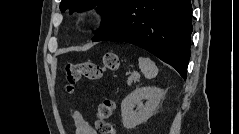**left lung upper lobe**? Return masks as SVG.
<instances>
[{
    "label": "left lung upper lobe",
    "mask_w": 239,
    "mask_h": 134,
    "mask_svg": "<svg viewBox=\"0 0 239 134\" xmlns=\"http://www.w3.org/2000/svg\"><path fill=\"white\" fill-rule=\"evenodd\" d=\"M128 0H62L60 10L64 12L70 8V14L73 12H82L96 7L98 13L102 15V28L94 31L97 35L110 27L118 18L121 10Z\"/></svg>",
    "instance_id": "5c2ea615"
}]
</instances>
